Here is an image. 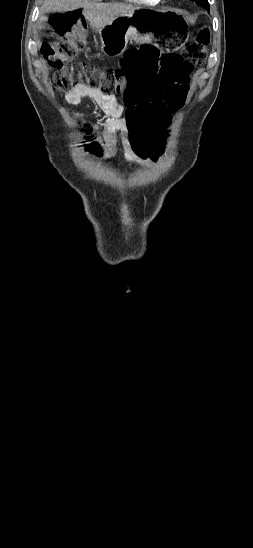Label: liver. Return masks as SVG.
<instances>
[{"mask_svg": "<svg viewBox=\"0 0 253 548\" xmlns=\"http://www.w3.org/2000/svg\"><path fill=\"white\" fill-rule=\"evenodd\" d=\"M83 8V16L94 30H100L111 24L117 17L127 15L139 9L125 3H103L90 0H44L40 15L47 12H69Z\"/></svg>", "mask_w": 253, "mask_h": 548, "instance_id": "liver-1", "label": "liver"}]
</instances>
